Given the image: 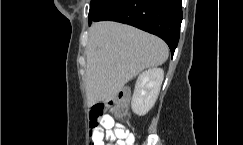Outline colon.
Here are the masks:
<instances>
[{
	"label": "colon",
	"mask_w": 243,
	"mask_h": 145,
	"mask_svg": "<svg viewBox=\"0 0 243 145\" xmlns=\"http://www.w3.org/2000/svg\"><path fill=\"white\" fill-rule=\"evenodd\" d=\"M128 100V93L122 91L109 103H97L93 105L90 111L91 134L93 130L98 127L100 120L104 116H123L127 108Z\"/></svg>",
	"instance_id": "1"
}]
</instances>
